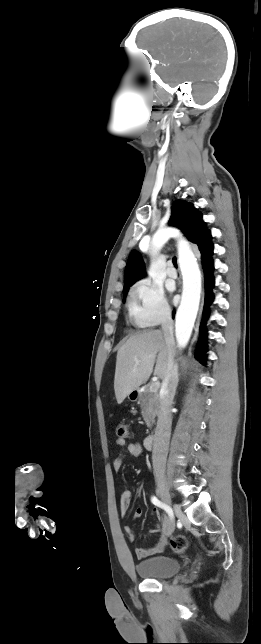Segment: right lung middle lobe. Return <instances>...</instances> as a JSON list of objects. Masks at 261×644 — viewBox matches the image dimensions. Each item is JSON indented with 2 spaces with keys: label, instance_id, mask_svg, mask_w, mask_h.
Returning <instances> with one entry per match:
<instances>
[{
  "label": "right lung middle lobe",
  "instance_id": "dd1d6c3e",
  "mask_svg": "<svg viewBox=\"0 0 261 644\" xmlns=\"http://www.w3.org/2000/svg\"><path fill=\"white\" fill-rule=\"evenodd\" d=\"M128 289H129V287L123 290L124 291L123 302L125 301Z\"/></svg>",
  "mask_w": 261,
  "mask_h": 644
}]
</instances>
